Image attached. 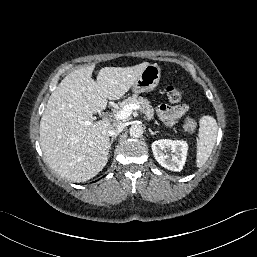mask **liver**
I'll return each mask as SVG.
<instances>
[{
  "label": "liver",
  "mask_w": 257,
  "mask_h": 257,
  "mask_svg": "<svg viewBox=\"0 0 257 257\" xmlns=\"http://www.w3.org/2000/svg\"><path fill=\"white\" fill-rule=\"evenodd\" d=\"M148 62L132 67H104L92 79L95 65L69 73L49 97L40 121V145L46 161L73 182L96 176L107 164L110 122H92L108 100L120 99ZM89 121L90 125L85 122Z\"/></svg>",
  "instance_id": "liver-1"
}]
</instances>
